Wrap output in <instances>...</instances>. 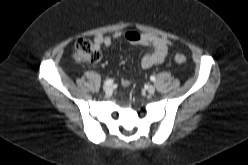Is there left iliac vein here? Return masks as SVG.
I'll list each match as a JSON object with an SVG mask.
<instances>
[{
	"mask_svg": "<svg viewBox=\"0 0 248 165\" xmlns=\"http://www.w3.org/2000/svg\"><path fill=\"white\" fill-rule=\"evenodd\" d=\"M146 91H147L149 94H154V93H155V87L152 86V85H147V86H146Z\"/></svg>",
	"mask_w": 248,
	"mask_h": 165,
	"instance_id": "4c4485c4",
	"label": "left iliac vein"
}]
</instances>
